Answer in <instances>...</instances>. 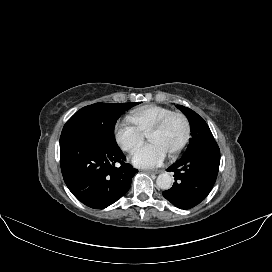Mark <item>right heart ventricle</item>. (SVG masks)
Here are the masks:
<instances>
[{
	"label": "right heart ventricle",
	"mask_w": 272,
	"mask_h": 272,
	"mask_svg": "<svg viewBox=\"0 0 272 272\" xmlns=\"http://www.w3.org/2000/svg\"><path fill=\"white\" fill-rule=\"evenodd\" d=\"M173 111L167 107L159 105H144L130 112L128 119L133 123L143 134L149 130L163 117Z\"/></svg>",
	"instance_id": "right-heart-ventricle-1"
}]
</instances>
